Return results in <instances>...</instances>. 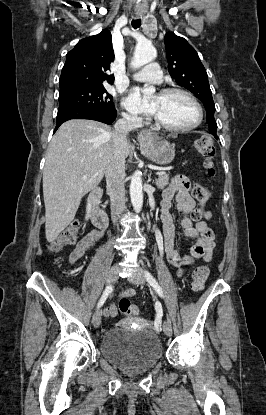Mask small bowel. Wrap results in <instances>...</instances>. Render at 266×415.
Listing matches in <instances>:
<instances>
[{"label":"small bowel","mask_w":266,"mask_h":415,"mask_svg":"<svg viewBox=\"0 0 266 415\" xmlns=\"http://www.w3.org/2000/svg\"><path fill=\"white\" fill-rule=\"evenodd\" d=\"M190 181L186 176H175L170 185L162 194L161 201V221L163 223L164 250L168 262L176 268V274L181 276L184 268L194 262L196 259L210 261L212 258L214 243V233L209 225L204 221H198L194 217H184L180 221L183 234L187 238L194 240L190 253L181 255L174 247L176 226L172 214L170 213L171 200L175 197L177 209L185 214H190L194 207L195 201L190 194ZM103 233L99 230L88 232L76 244L69 256L71 264L76 263L101 237ZM133 289L123 290L119 299L133 296ZM117 313L115 303L109 305L105 310L106 316H114Z\"/></svg>","instance_id":"1"}]
</instances>
